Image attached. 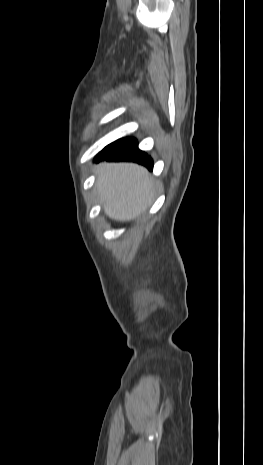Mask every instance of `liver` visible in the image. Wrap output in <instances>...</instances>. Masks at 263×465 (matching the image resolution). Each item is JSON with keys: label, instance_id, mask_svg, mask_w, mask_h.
Segmentation results:
<instances>
[{"label": "liver", "instance_id": "obj_1", "mask_svg": "<svg viewBox=\"0 0 263 465\" xmlns=\"http://www.w3.org/2000/svg\"><path fill=\"white\" fill-rule=\"evenodd\" d=\"M96 187L108 217L131 221L150 206L155 186L147 169L135 163H103Z\"/></svg>", "mask_w": 263, "mask_h": 465}]
</instances>
